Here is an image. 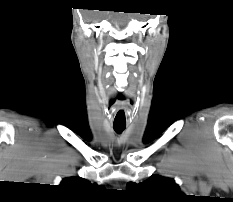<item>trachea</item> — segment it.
<instances>
[{
    "mask_svg": "<svg viewBox=\"0 0 233 202\" xmlns=\"http://www.w3.org/2000/svg\"><path fill=\"white\" fill-rule=\"evenodd\" d=\"M113 128L116 133L120 134L125 130L126 126L125 125H114Z\"/></svg>",
    "mask_w": 233,
    "mask_h": 202,
    "instance_id": "3493384b",
    "label": "trachea"
}]
</instances>
